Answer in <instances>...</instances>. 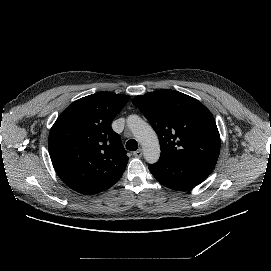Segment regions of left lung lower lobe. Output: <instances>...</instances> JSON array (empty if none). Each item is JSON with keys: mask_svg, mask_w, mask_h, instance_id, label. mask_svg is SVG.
Masks as SVG:
<instances>
[{"mask_svg": "<svg viewBox=\"0 0 271 271\" xmlns=\"http://www.w3.org/2000/svg\"><path fill=\"white\" fill-rule=\"evenodd\" d=\"M213 169L211 164L167 156H160L157 163L149 165V170L162 185L178 191L197 186Z\"/></svg>", "mask_w": 271, "mask_h": 271, "instance_id": "1", "label": "left lung lower lobe"}]
</instances>
